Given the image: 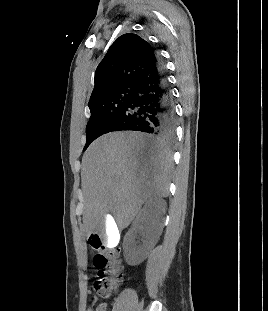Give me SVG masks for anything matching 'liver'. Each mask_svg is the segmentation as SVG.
Listing matches in <instances>:
<instances>
[{"label": "liver", "mask_w": 268, "mask_h": 311, "mask_svg": "<svg viewBox=\"0 0 268 311\" xmlns=\"http://www.w3.org/2000/svg\"><path fill=\"white\" fill-rule=\"evenodd\" d=\"M171 154L151 146L141 133L112 132L96 139L82 158L83 231L105 226L108 213L120 230L129 226L145 201L167 197Z\"/></svg>", "instance_id": "liver-1"}]
</instances>
